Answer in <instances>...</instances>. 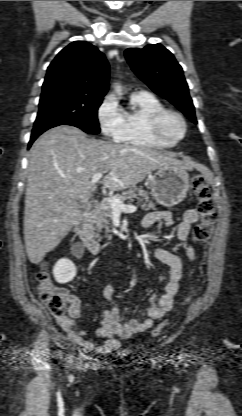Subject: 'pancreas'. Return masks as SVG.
<instances>
[{"mask_svg": "<svg viewBox=\"0 0 242 416\" xmlns=\"http://www.w3.org/2000/svg\"><path fill=\"white\" fill-rule=\"evenodd\" d=\"M115 197L121 201L128 200L129 203L133 202L134 199H137L138 201H142L144 199L145 203H143L141 207L143 210L155 209V203L149 199L147 191L141 188L132 187L122 194L115 195ZM112 214L113 210L108 200L102 201L97 209L92 213V223L95 225L93 230L101 232V230L105 228L106 232L109 233V225L111 224ZM96 237H99V234H96ZM108 238H111V236L108 235Z\"/></svg>", "mask_w": 242, "mask_h": 416, "instance_id": "1", "label": "pancreas"}]
</instances>
